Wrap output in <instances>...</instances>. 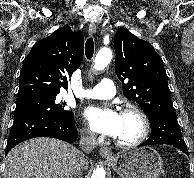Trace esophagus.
<instances>
[{
  "label": "esophagus",
  "instance_id": "esophagus-1",
  "mask_svg": "<svg viewBox=\"0 0 194 178\" xmlns=\"http://www.w3.org/2000/svg\"><path fill=\"white\" fill-rule=\"evenodd\" d=\"M96 24L95 23H91L89 25V28H88V33L90 36L94 35L96 33ZM99 153L102 157L106 158V159H111L113 158V152L111 149H109L108 147H102L100 150H99Z\"/></svg>",
  "mask_w": 194,
  "mask_h": 178
}]
</instances>
